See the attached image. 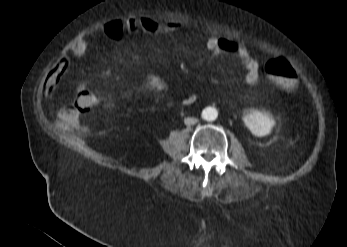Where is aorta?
<instances>
[{
	"instance_id": "obj_1",
	"label": "aorta",
	"mask_w": 347,
	"mask_h": 247,
	"mask_svg": "<svg viewBox=\"0 0 347 247\" xmlns=\"http://www.w3.org/2000/svg\"><path fill=\"white\" fill-rule=\"evenodd\" d=\"M202 118L207 121H214L217 118V111L212 108H206L202 112Z\"/></svg>"
}]
</instances>
